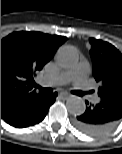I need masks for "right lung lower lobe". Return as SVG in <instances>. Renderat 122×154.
<instances>
[{
	"label": "right lung lower lobe",
	"mask_w": 122,
	"mask_h": 154,
	"mask_svg": "<svg viewBox=\"0 0 122 154\" xmlns=\"http://www.w3.org/2000/svg\"><path fill=\"white\" fill-rule=\"evenodd\" d=\"M57 93H42L37 97L26 100L10 115L3 118L5 122L16 128H25L41 122L50 106L55 102Z\"/></svg>",
	"instance_id": "1"
}]
</instances>
